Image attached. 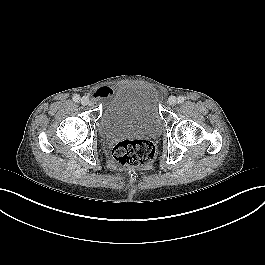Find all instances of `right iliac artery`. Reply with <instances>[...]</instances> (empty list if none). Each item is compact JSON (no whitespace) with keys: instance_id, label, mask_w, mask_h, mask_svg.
Segmentation results:
<instances>
[{"instance_id":"1","label":"right iliac artery","mask_w":265,"mask_h":265,"mask_svg":"<svg viewBox=\"0 0 265 265\" xmlns=\"http://www.w3.org/2000/svg\"><path fill=\"white\" fill-rule=\"evenodd\" d=\"M73 101H74V102H79V101H80V96L77 95V94H75V95L73 96Z\"/></svg>"}]
</instances>
